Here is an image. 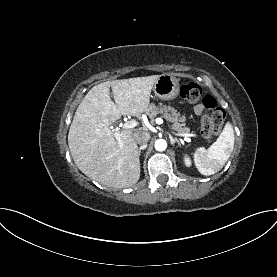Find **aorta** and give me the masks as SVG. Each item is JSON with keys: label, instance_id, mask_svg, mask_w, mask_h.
<instances>
[{"label": "aorta", "instance_id": "1", "mask_svg": "<svg viewBox=\"0 0 277 277\" xmlns=\"http://www.w3.org/2000/svg\"><path fill=\"white\" fill-rule=\"evenodd\" d=\"M167 148V143L164 139H158L155 141V149L157 151H164Z\"/></svg>", "mask_w": 277, "mask_h": 277}]
</instances>
